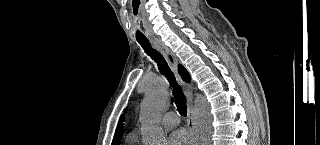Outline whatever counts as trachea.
<instances>
[{
  "label": "trachea",
  "mask_w": 320,
  "mask_h": 145,
  "mask_svg": "<svg viewBox=\"0 0 320 145\" xmlns=\"http://www.w3.org/2000/svg\"><path fill=\"white\" fill-rule=\"evenodd\" d=\"M137 41L145 50L146 54L149 55L157 63L159 71L162 74L167 76L169 83L173 87V95L175 98V104L178 108V111L180 115L186 116L187 115L186 97L183 94L180 86L178 85L176 78L173 72L171 71L170 67L168 66L165 58L162 56L161 53H159L157 50L152 48L147 38L137 37Z\"/></svg>",
  "instance_id": "trachea-1"
}]
</instances>
